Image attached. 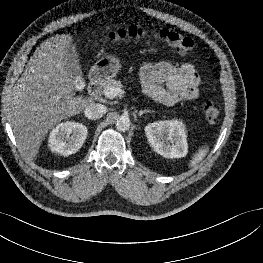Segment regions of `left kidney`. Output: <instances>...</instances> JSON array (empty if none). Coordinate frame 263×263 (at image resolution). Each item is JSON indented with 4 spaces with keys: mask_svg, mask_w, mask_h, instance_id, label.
<instances>
[{
    "mask_svg": "<svg viewBox=\"0 0 263 263\" xmlns=\"http://www.w3.org/2000/svg\"><path fill=\"white\" fill-rule=\"evenodd\" d=\"M145 134L151 147L165 158H181L187 154V139L183 123L166 120L150 123Z\"/></svg>",
    "mask_w": 263,
    "mask_h": 263,
    "instance_id": "1",
    "label": "left kidney"
}]
</instances>
